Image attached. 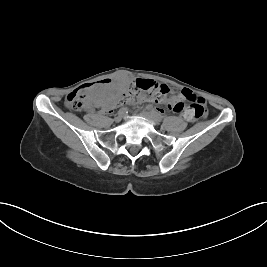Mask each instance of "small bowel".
<instances>
[{
	"label": "small bowel",
	"mask_w": 267,
	"mask_h": 267,
	"mask_svg": "<svg viewBox=\"0 0 267 267\" xmlns=\"http://www.w3.org/2000/svg\"><path fill=\"white\" fill-rule=\"evenodd\" d=\"M92 87H90L89 85L84 87L85 90H90ZM116 97L115 93H111L105 97L103 96H94L92 98V101L88 104V108L89 109H94L97 108L100 110V112L104 113V112H108L110 109H106V104L107 102H109L110 100L114 99ZM182 95L181 94H172L169 100V104L173 110L174 106H176L177 104L182 102ZM112 109V108H111ZM174 111V110H173ZM187 119V118H185ZM188 121H194V120H190L187 119Z\"/></svg>",
	"instance_id": "1"
}]
</instances>
